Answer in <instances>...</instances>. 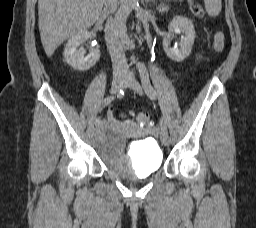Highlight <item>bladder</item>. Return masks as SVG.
Segmentation results:
<instances>
[{
  "label": "bladder",
  "instance_id": "31cf9c89",
  "mask_svg": "<svg viewBox=\"0 0 256 228\" xmlns=\"http://www.w3.org/2000/svg\"><path fill=\"white\" fill-rule=\"evenodd\" d=\"M91 145L107 168L123 179L148 177L163 164V153L155 140L136 141L132 143L129 154H124L125 139L113 125L96 131Z\"/></svg>",
  "mask_w": 256,
  "mask_h": 228
}]
</instances>
